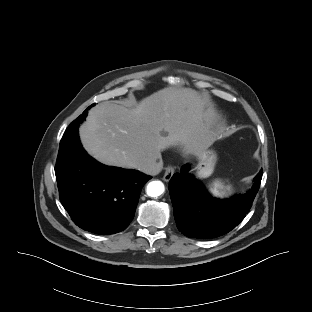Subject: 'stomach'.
I'll return each mask as SVG.
<instances>
[{"label":"stomach","mask_w":312,"mask_h":312,"mask_svg":"<svg viewBox=\"0 0 312 312\" xmlns=\"http://www.w3.org/2000/svg\"><path fill=\"white\" fill-rule=\"evenodd\" d=\"M198 159L199 162L196 166L197 176L200 178L209 177L213 173L217 161L216 153L206 148L198 154Z\"/></svg>","instance_id":"stomach-1"}]
</instances>
